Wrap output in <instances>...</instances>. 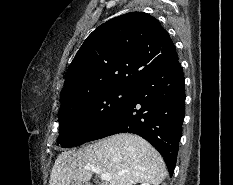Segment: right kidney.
Listing matches in <instances>:
<instances>
[{
    "label": "right kidney",
    "mask_w": 233,
    "mask_h": 185,
    "mask_svg": "<svg viewBox=\"0 0 233 185\" xmlns=\"http://www.w3.org/2000/svg\"><path fill=\"white\" fill-rule=\"evenodd\" d=\"M141 185H150L149 183H142Z\"/></svg>",
    "instance_id": "obj_1"
}]
</instances>
